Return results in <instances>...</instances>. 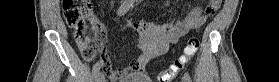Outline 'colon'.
I'll list each match as a JSON object with an SVG mask.
<instances>
[{
    "instance_id": "colon-1",
    "label": "colon",
    "mask_w": 279,
    "mask_h": 82,
    "mask_svg": "<svg viewBox=\"0 0 279 82\" xmlns=\"http://www.w3.org/2000/svg\"><path fill=\"white\" fill-rule=\"evenodd\" d=\"M62 14L66 24L73 30L75 41L78 44L85 43L87 31L94 28L99 20L93 12L91 3L87 0H61ZM209 5L220 6L222 0H212ZM200 45L198 37L189 38L183 54L178 57L169 67L163 69L158 75V82H171L186 66L190 58L196 53ZM85 60L91 57V48L87 46L82 50Z\"/></svg>"
}]
</instances>
